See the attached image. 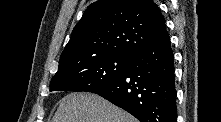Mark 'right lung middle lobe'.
<instances>
[{"label":"right lung middle lobe","mask_w":221,"mask_h":122,"mask_svg":"<svg viewBox=\"0 0 221 122\" xmlns=\"http://www.w3.org/2000/svg\"><path fill=\"white\" fill-rule=\"evenodd\" d=\"M131 60L129 56L108 55L78 63L56 74L50 91L92 92L121 76Z\"/></svg>","instance_id":"dd1d6c3e"}]
</instances>
